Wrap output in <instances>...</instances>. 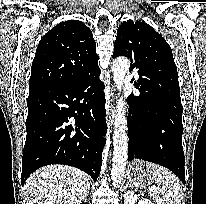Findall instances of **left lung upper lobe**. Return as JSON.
Masks as SVG:
<instances>
[{
  "label": "left lung upper lobe",
  "mask_w": 206,
  "mask_h": 204,
  "mask_svg": "<svg viewBox=\"0 0 206 204\" xmlns=\"http://www.w3.org/2000/svg\"><path fill=\"white\" fill-rule=\"evenodd\" d=\"M118 56L129 57L138 69L145 68L147 88L173 84L180 89L171 47L145 22L128 20L119 26L112 57Z\"/></svg>",
  "instance_id": "left-lung-upper-lobe-1"
}]
</instances>
